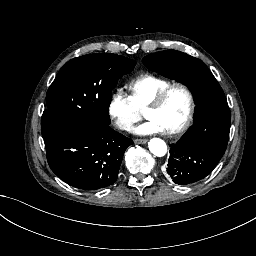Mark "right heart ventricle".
Masks as SVG:
<instances>
[{"label": "right heart ventricle", "mask_w": 256, "mask_h": 256, "mask_svg": "<svg viewBox=\"0 0 256 256\" xmlns=\"http://www.w3.org/2000/svg\"><path fill=\"white\" fill-rule=\"evenodd\" d=\"M142 84L133 90V98L136 100L139 111L146 110L168 88L167 84L152 82L148 78L142 79Z\"/></svg>", "instance_id": "e07e8e85"}]
</instances>
